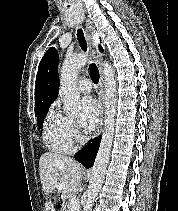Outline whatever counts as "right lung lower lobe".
I'll return each instance as SVG.
<instances>
[{
    "label": "right lung lower lobe",
    "mask_w": 178,
    "mask_h": 211,
    "mask_svg": "<svg viewBox=\"0 0 178 211\" xmlns=\"http://www.w3.org/2000/svg\"><path fill=\"white\" fill-rule=\"evenodd\" d=\"M101 138L98 137L93 144H88L75 155V159L82 163L86 168L93 166L96 154L99 149Z\"/></svg>",
    "instance_id": "right-lung-lower-lobe-1"
}]
</instances>
